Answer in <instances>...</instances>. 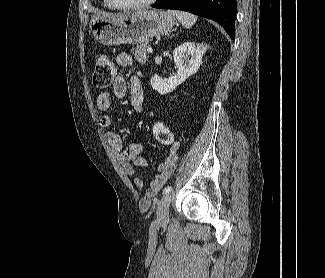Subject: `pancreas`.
<instances>
[{"instance_id": "obj_1", "label": "pancreas", "mask_w": 325, "mask_h": 278, "mask_svg": "<svg viewBox=\"0 0 325 278\" xmlns=\"http://www.w3.org/2000/svg\"><path fill=\"white\" fill-rule=\"evenodd\" d=\"M148 43L149 42L146 41L131 50L132 54L135 56V59L139 63L144 64L148 60V54H147V48L149 47Z\"/></svg>"}]
</instances>
